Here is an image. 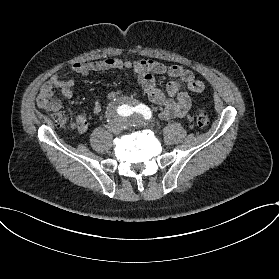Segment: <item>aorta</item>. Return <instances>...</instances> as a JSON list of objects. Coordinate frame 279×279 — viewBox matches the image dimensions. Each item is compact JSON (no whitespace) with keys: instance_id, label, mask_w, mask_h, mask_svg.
<instances>
[{"instance_id":"aorta-1","label":"aorta","mask_w":279,"mask_h":279,"mask_svg":"<svg viewBox=\"0 0 279 279\" xmlns=\"http://www.w3.org/2000/svg\"><path fill=\"white\" fill-rule=\"evenodd\" d=\"M113 106H114L115 110H121V109L125 108V106H127V103H126V100L121 99V100L116 101Z\"/></svg>"}]
</instances>
